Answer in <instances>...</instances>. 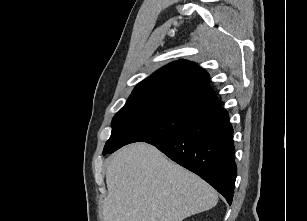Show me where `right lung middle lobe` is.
<instances>
[{"mask_svg":"<svg viewBox=\"0 0 307 221\" xmlns=\"http://www.w3.org/2000/svg\"><path fill=\"white\" fill-rule=\"evenodd\" d=\"M210 109L179 101L140 100L126 102L114 116L112 133L103 154L122 146L174 134L196 122Z\"/></svg>","mask_w":307,"mask_h":221,"instance_id":"obj_1","label":"right lung middle lobe"}]
</instances>
